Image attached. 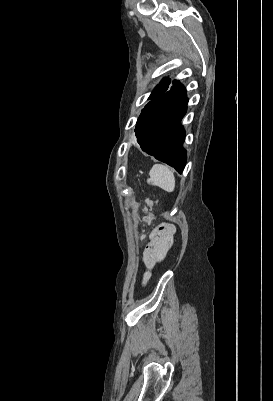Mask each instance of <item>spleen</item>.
<instances>
[{"instance_id": "obj_1", "label": "spleen", "mask_w": 273, "mask_h": 401, "mask_svg": "<svg viewBox=\"0 0 273 401\" xmlns=\"http://www.w3.org/2000/svg\"><path fill=\"white\" fill-rule=\"evenodd\" d=\"M150 178H147L149 184H156L168 192H172L175 188V178L172 170L165 164H154L150 172Z\"/></svg>"}]
</instances>
